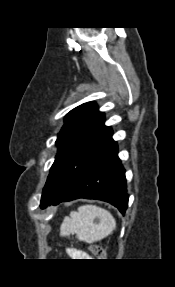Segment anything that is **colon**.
I'll return each mask as SVG.
<instances>
[{"mask_svg":"<svg viewBox=\"0 0 175 287\" xmlns=\"http://www.w3.org/2000/svg\"><path fill=\"white\" fill-rule=\"evenodd\" d=\"M90 251L98 258H103L105 256L104 249L100 245H91Z\"/></svg>","mask_w":175,"mask_h":287,"instance_id":"obj_1","label":"colon"}]
</instances>
